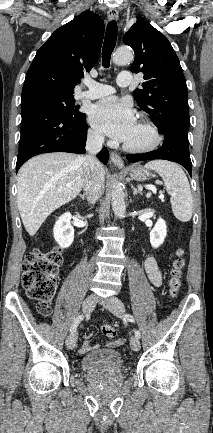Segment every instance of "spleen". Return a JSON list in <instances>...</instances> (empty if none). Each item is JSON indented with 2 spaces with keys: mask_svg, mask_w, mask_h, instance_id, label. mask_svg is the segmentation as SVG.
Returning a JSON list of instances; mask_svg holds the SVG:
<instances>
[{
  "mask_svg": "<svg viewBox=\"0 0 213 433\" xmlns=\"http://www.w3.org/2000/svg\"><path fill=\"white\" fill-rule=\"evenodd\" d=\"M145 167L156 171L163 179L174 216L182 222H188L192 217L193 199L188 179L181 167L164 160L150 161Z\"/></svg>",
  "mask_w": 213,
  "mask_h": 433,
  "instance_id": "1",
  "label": "spleen"
}]
</instances>
